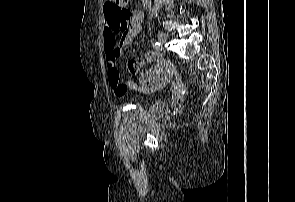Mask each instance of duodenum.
<instances>
[{"instance_id": "410a0bca", "label": "duodenum", "mask_w": 295, "mask_h": 202, "mask_svg": "<svg viewBox=\"0 0 295 202\" xmlns=\"http://www.w3.org/2000/svg\"><path fill=\"white\" fill-rule=\"evenodd\" d=\"M143 4H147L150 0H141Z\"/></svg>"}]
</instances>
